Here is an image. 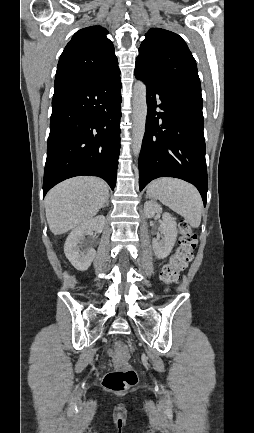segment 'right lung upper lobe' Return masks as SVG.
<instances>
[{
	"instance_id": "right-lung-upper-lobe-1",
	"label": "right lung upper lobe",
	"mask_w": 254,
	"mask_h": 433,
	"mask_svg": "<svg viewBox=\"0 0 254 433\" xmlns=\"http://www.w3.org/2000/svg\"><path fill=\"white\" fill-rule=\"evenodd\" d=\"M107 30L90 26L76 32L60 56L54 85L73 80L98 79L119 72Z\"/></svg>"
}]
</instances>
